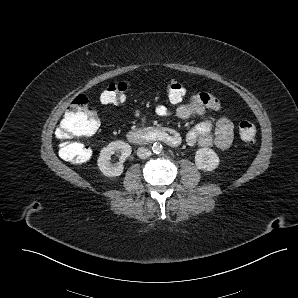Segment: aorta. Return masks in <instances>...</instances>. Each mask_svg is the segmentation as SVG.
I'll use <instances>...</instances> for the list:
<instances>
[{
  "label": "aorta",
  "mask_w": 298,
  "mask_h": 298,
  "mask_svg": "<svg viewBox=\"0 0 298 298\" xmlns=\"http://www.w3.org/2000/svg\"><path fill=\"white\" fill-rule=\"evenodd\" d=\"M163 150V147L160 143H154L153 146H152V151L153 153L155 154H159L161 153Z\"/></svg>",
  "instance_id": "1"
}]
</instances>
